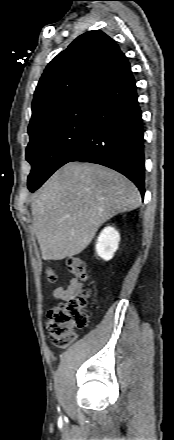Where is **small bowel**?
Wrapping results in <instances>:
<instances>
[{
  "instance_id": "1",
  "label": "small bowel",
  "mask_w": 174,
  "mask_h": 440,
  "mask_svg": "<svg viewBox=\"0 0 174 440\" xmlns=\"http://www.w3.org/2000/svg\"><path fill=\"white\" fill-rule=\"evenodd\" d=\"M82 291V284L76 278H72L67 285L54 288L52 296L57 300H68L79 295Z\"/></svg>"
}]
</instances>
